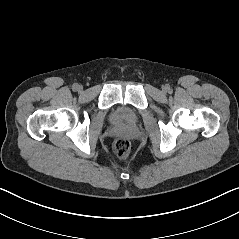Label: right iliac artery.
<instances>
[{
    "instance_id": "82829eb1",
    "label": "right iliac artery",
    "mask_w": 239,
    "mask_h": 239,
    "mask_svg": "<svg viewBox=\"0 0 239 239\" xmlns=\"http://www.w3.org/2000/svg\"><path fill=\"white\" fill-rule=\"evenodd\" d=\"M78 87H79V85L77 83L73 84V86H72L73 90H77Z\"/></svg>"
}]
</instances>
